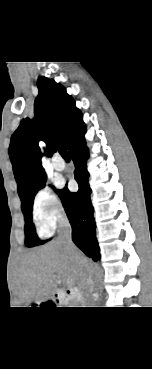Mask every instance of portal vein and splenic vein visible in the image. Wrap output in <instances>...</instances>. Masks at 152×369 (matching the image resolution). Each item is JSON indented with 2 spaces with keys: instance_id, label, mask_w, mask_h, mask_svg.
Listing matches in <instances>:
<instances>
[{
  "instance_id": "obj_1",
  "label": "portal vein and splenic vein",
  "mask_w": 152,
  "mask_h": 369,
  "mask_svg": "<svg viewBox=\"0 0 152 369\" xmlns=\"http://www.w3.org/2000/svg\"><path fill=\"white\" fill-rule=\"evenodd\" d=\"M56 283L60 284L61 283V280H57Z\"/></svg>"
}]
</instances>
